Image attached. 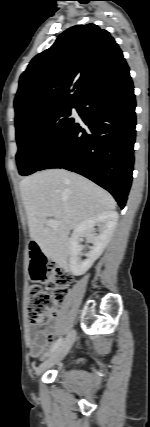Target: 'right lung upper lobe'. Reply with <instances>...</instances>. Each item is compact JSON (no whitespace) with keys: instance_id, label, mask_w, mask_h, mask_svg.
Masks as SVG:
<instances>
[{"instance_id":"1","label":"right lung upper lobe","mask_w":150,"mask_h":427,"mask_svg":"<svg viewBox=\"0 0 150 427\" xmlns=\"http://www.w3.org/2000/svg\"><path fill=\"white\" fill-rule=\"evenodd\" d=\"M126 67L122 51L108 31L95 24L73 26L35 56L21 75L14 101L15 121L41 108L77 105Z\"/></svg>"}]
</instances>
